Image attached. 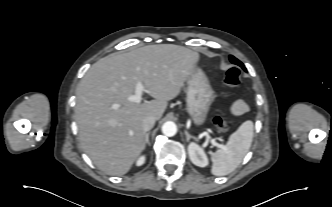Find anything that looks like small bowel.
<instances>
[{"mask_svg": "<svg viewBox=\"0 0 332 207\" xmlns=\"http://www.w3.org/2000/svg\"><path fill=\"white\" fill-rule=\"evenodd\" d=\"M231 111L234 114H238V115L243 114L244 112L247 111V105L244 101L238 100L233 103V105L231 107Z\"/></svg>", "mask_w": 332, "mask_h": 207, "instance_id": "1", "label": "small bowel"}]
</instances>
